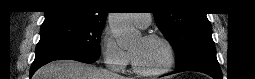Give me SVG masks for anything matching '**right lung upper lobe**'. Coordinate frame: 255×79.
I'll return each instance as SVG.
<instances>
[{
  "instance_id": "obj_1",
  "label": "right lung upper lobe",
  "mask_w": 255,
  "mask_h": 79,
  "mask_svg": "<svg viewBox=\"0 0 255 79\" xmlns=\"http://www.w3.org/2000/svg\"><path fill=\"white\" fill-rule=\"evenodd\" d=\"M99 0H54L45 11V21L67 20L104 25L107 12Z\"/></svg>"
}]
</instances>
